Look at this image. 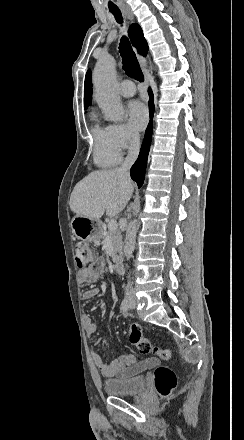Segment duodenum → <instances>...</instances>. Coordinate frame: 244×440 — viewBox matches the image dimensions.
I'll return each instance as SVG.
<instances>
[{
  "label": "duodenum",
  "mask_w": 244,
  "mask_h": 440,
  "mask_svg": "<svg viewBox=\"0 0 244 440\" xmlns=\"http://www.w3.org/2000/svg\"><path fill=\"white\" fill-rule=\"evenodd\" d=\"M114 268H115V271L119 274L123 273V271H124L123 258L120 255H118L114 258Z\"/></svg>",
  "instance_id": "1"
}]
</instances>
